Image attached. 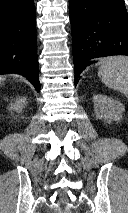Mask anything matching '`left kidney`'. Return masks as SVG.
<instances>
[{
    "mask_svg": "<svg viewBox=\"0 0 128 213\" xmlns=\"http://www.w3.org/2000/svg\"><path fill=\"white\" fill-rule=\"evenodd\" d=\"M93 102L97 118L109 123L112 120H121L125 107L120 101L102 94H96L93 97Z\"/></svg>",
    "mask_w": 128,
    "mask_h": 213,
    "instance_id": "obj_1",
    "label": "left kidney"
}]
</instances>
